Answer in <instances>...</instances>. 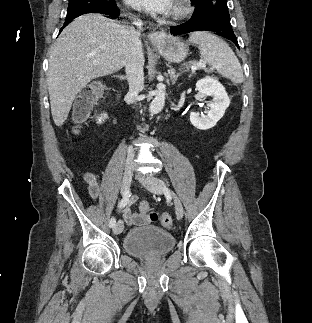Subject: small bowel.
I'll return each instance as SVG.
<instances>
[{"label":"small bowel","instance_id":"1","mask_svg":"<svg viewBox=\"0 0 312 323\" xmlns=\"http://www.w3.org/2000/svg\"><path fill=\"white\" fill-rule=\"evenodd\" d=\"M85 183L88 185L89 193L93 198H97L100 194L99 178L92 172H87L83 176ZM136 198H132L128 205L120 210L125 223L128 226H142L149 222L147 215L133 211V206L136 203Z\"/></svg>","mask_w":312,"mask_h":323}]
</instances>
